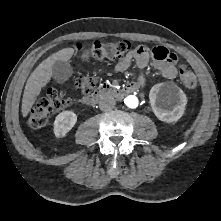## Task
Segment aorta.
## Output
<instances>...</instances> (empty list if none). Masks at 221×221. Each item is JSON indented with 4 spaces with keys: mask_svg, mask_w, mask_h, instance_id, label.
<instances>
[{
    "mask_svg": "<svg viewBox=\"0 0 221 221\" xmlns=\"http://www.w3.org/2000/svg\"><path fill=\"white\" fill-rule=\"evenodd\" d=\"M124 103L126 104L127 107L129 108H136L138 106V98L134 95H129L124 99Z\"/></svg>",
    "mask_w": 221,
    "mask_h": 221,
    "instance_id": "aorta-1",
    "label": "aorta"
}]
</instances>
